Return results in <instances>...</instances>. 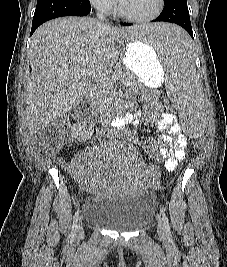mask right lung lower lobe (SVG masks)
I'll return each mask as SVG.
<instances>
[{
    "mask_svg": "<svg viewBox=\"0 0 227 267\" xmlns=\"http://www.w3.org/2000/svg\"><path fill=\"white\" fill-rule=\"evenodd\" d=\"M92 12L89 0H38L31 35L44 22L62 16H85Z\"/></svg>",
    "mask_w": 227,
    "mask_h": 267,
    "instance_id": "98d812e1",
    "label": "right lung lower lobe"
}]
</instances>
